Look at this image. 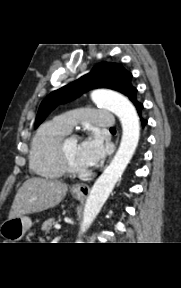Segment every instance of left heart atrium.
Masks as SVG:
<instances>
[{
    "label": "left heart atrium",
    "mask_w": 181,
    "mask_h": 288,
    "mask_svg": "<svg viewBox=\"0 0 181 288\" xmlns=\"http://www.w3.org/2000/svg\"><path fill=\"white\" fill-rule=\"evenodd\" d=\"M104 157V145L96 133L89 134L78 146V158L85 168L99 164Z\"/></svg>",
    "instance_id": "1"
}]
</instances>
